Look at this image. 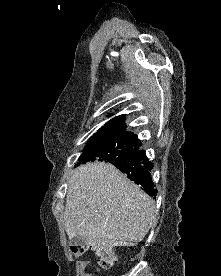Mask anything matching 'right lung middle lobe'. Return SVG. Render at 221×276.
I'll return each instance as SVG.
<instances>
[{
    "label": "right lung middle lobe",
    "mask_w": 221,
    "mask_h": 276,
    "mask_svg": "<svg viewBox=\"0 0 221 276\" xmlns=\"http://www.w3.org/2000/svg\"><path fill=\"white\" fill-rule=\"evenodd\" d=\"M141 143L137 137L126 134H107L93 136L79 157V164L93 161L114 162L125 159L134 153Z\"/></svg>",
    "instance_id": "right-lung-middle-lobe-1"
}]
</instances>
